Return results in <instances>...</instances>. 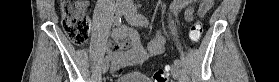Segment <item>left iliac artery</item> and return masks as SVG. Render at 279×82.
I'll return each instance as SVG.
<instances>
[{
  "instance_id": "left-iliac-artery-1",
  "label": "left iliac artery",
  "mask_w": 279,
  "mask_h": 82,
  "mask_svg": "<svg viewBox=\"0 0 279 82\" xmlns=\"http://www.w3.org/2000/svg\"><path fill=\"white\" fill-rule=\"evenodd\" d=\"M138 19L141 21V22H147V17L143 14H138ZM174 63L178 66L181 65V62L179 60H175ZM166 70H170V67L169 66H166L165 67Z\"/></svg>"
}]
</instances>
